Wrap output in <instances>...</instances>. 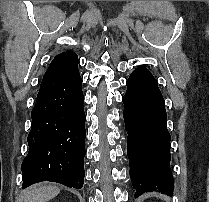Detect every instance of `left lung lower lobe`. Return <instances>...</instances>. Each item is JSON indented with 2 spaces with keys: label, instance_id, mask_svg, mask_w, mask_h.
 I'll return each instance as SVG.
<instances>
[{
  "label": "left lung lower lobe",
  "instance_id": "1",
  "mask_svg": "<svg viewBox=\"0 0 209 202\" xmlns=\"http://www.w3.org/2000/svg\"><path fill=\"white\" fill-rule=\"evenodd\" d=\"M123 97L125 129L128 133L129 175L135 197L158 191L172 195L170 139L162 94L151 72L137 67L126 82Z\"/></svg>",
  "mask_w": 209,
  "mask_h": 202
}]
</instances>
